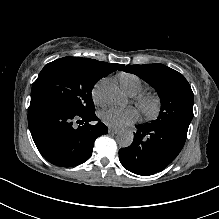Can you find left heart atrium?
<instances>
[{"instance_id":"obj_1","label":"left heart atrium","mask_w":219,"mask_h":219,"mask_svg":"<svg viewBox=\"0 0 219 219\" xmlns=\"http://www.w3.org/2000/svg\"><path fill=\"white\" fill-rule=\"evenodd\" d=\"M139 118V112L134 107L126 109L111 108L102 113L103 121L110 127L121 129L136 122Z\"/></svg>"}]
</instances>
